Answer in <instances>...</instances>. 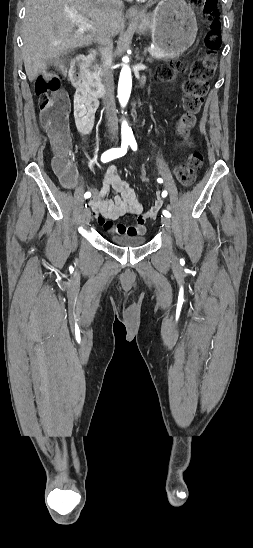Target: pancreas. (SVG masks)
<instances>
[{
    "label": "pancreas",
    "instance_id": "obj_1",
    "mask_svg": "<svg viewBox=\"0 0 253 548\" xmlns=\"http://www.w3.org/2000/svg\"><path fill=\"white\" fill-rule=\"evenodd\" d=\"M152 57L154 59H162V60H168V59H173L175 57H177L178 55H175L173 53H168L162 49H160L159 47H154L153 50L150 51ZM91 77L96 80V81H99V77H100V72H99V67L98 65H93L91 67Z\"/></svg>",
    "mask_w": 253,
    "mask_h": 548
}]
</instances>
